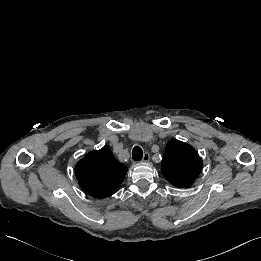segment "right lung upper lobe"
Masks as SVG:
<instances>
[{
  "label": "right lung upper lobe",
  "mask_w": 261,
  "mask_h": 261,
  "mask_svg": "<svg viewBox=\"0 0 261 261\" xmlns=\"http://www.w3.org/2000/svg\"><path fill=\"white\" fill-rule=\"evenodd\" d=\"M127 173L107 146L91 151L76 164V178L81 188L96 198L116 193Z\"/></svg>",
  "instance_id": "right-lung-upper-lobe-1"
}]
</instances>
